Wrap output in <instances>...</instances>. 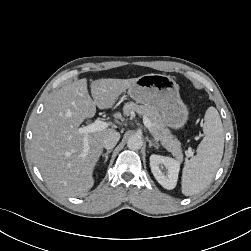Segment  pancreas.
I'll return each instance as SVG.
<instances>
[{"label":"pancreas","mask_w":251,"mask_h":251,"mask_svg":"<svg viewBox=\"0 0 251 251\" xmlns=\"http://www.w3.org/2000/svg\"><path fill=\"white\" fill-rule=\"evenodd\" d=\"M125 115H130L132 112H137L140 115L146 116L151 122V133L153 138L171 154L181 161L183 159L181 143L171 134V131L166 127L160 112L150 106L138 105L134 102H128L123 108Z\"/></svg>","instance_id":"obj_1"}]
</instances>
